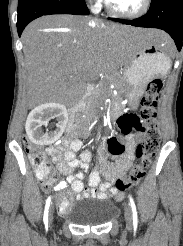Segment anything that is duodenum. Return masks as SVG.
I'll list each match as a JSON object with an SVG mask.
<instances>
[{"label": "duodenum", "mask_w": 183, "mask_h": 246, "mask_svg": "<svg viewBox=\"0 0 183 246\" xmlns=\"http://www.w3.org/2000/svg\"><path fill=\"white\" fill-rule=\"evenodd\" d=\"M77 112L81 113V104H74V107L70 109V118L67 126L68 133H73L77 125Z\"/></svg>", "instance_id": "obj_1"}]
</instances>
